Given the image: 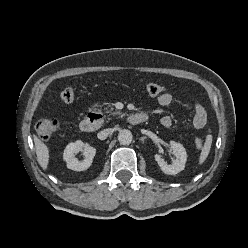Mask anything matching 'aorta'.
<instances>
[{"mask_svg":"<svg viewBox=\"0 0 248 248\" xmlns=\"http://www.w3.org/2000/svg\"><path fill=\"white\" fill-rule=\"evenodd\" d=\"M133 135L130 130L122 129L119 131L118 140L122 145H129L132 142Z\"/></svg>","mask_w":248,"mask_h":248,"instance_id":"aorta-1","label":"aorta"}]
</instances>
